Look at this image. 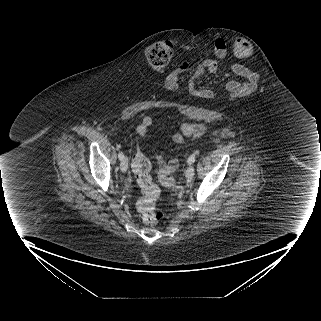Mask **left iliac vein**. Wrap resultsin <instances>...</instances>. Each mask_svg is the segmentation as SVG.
Here are the masks:
<instances>
[{
  "instance_id": "obj_1",
  "label": "left iliac vein",
  "mask_w": 321,
  "mask_h": 321,
  "mask_svg": "<svg viewBox=\"0 0 321 321\" xmlns=\"http://www.w3.org/2000/svg\"><path fill=\"white\" fill-rule=\"evenodd\" d=\"M194 166L189 165L185 171L186 178L191 181L194 178Z\"/></svg>"
}]
</instances>
